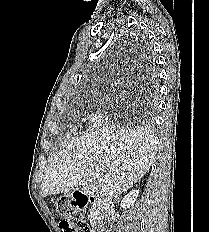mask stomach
I'll list each match as a JSON object with an SVG mask.
<instances>
[{
	"instance_id": "obj_1",
	"label": "stomach",
	"mask_w": 209,
	"mask_h": 232,
	"mask_svg": "<svg viewBox=\"0 0 209 232\" xmlns=\"http://www.w3.org/2000/svg\"><path fill=\"white\" fill-rule=\"evenodd\" d=\"M76 198H70V194H61V198L56 201L58 214H61V218H76L78 213Z\"/></svg>"
}]
</instances>
